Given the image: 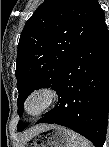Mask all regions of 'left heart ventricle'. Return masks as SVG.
Returning <instances> with one entry per match:
<instances>
[{"label": "left heart ventricle", "mask_w": 109, "mask_h": 147, "mask_svg": "<svg viewBox=\"0 0 109 147\" xmlns=\"http://www.w3.org/2000/svg\"><path fill=\"white\" fill-rule=\"evenodd\" d=\"M42 103H43V100L40 97H35L31 99L29 102V110L33 113L38 111Z\"/></svg>", "instance_id": "obj_1"}]
</instances>
